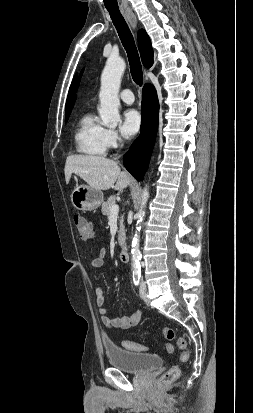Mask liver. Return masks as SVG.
Wrapping results in <instances>:
<instances>
[{"instance_id": "6515ba94", "label": "liver", "mask_w": 253, "mask_h": 413, "mask_svg": "<svg viewBox=\"0 0 253 413\" xmlns=\"http://www.w3.org/2000/svg\"><path fill=\"white\" fill-rule=\"evenodd\" d=\"M64 172L67 184L75 173L96 190H123L130 184L129 175L121 171L118 163L102 156H68Z\"/></svg>"}]
</instances>
